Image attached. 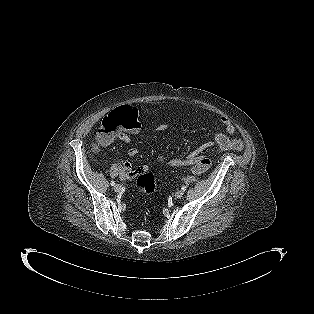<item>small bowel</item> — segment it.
Instances as JSON below:
<instances>
[{
    "label": "small bowel",
    "instance_id": "obj_1",
    "mask_svg": "<svg viewBox=\"0 0 314 314\" xmlns=\"http://www.w3.org/2000/svg\"><path fill=\"white\" fill-rule=\"evenodd\" d=\"M221 124L224 127L223 132H217L214 136V141L213 142H207L201 146H199L197 149H195L192 153H190L187 157L185 158H172L169 160V165L172 167H182V166H192L194 165L200 158L202 152L215 145L216 146V151L217 152H225L229 150H236L240 151L243 149V143L241 140L233 138L232 134L234 132V126L232 122L228 118H222L221 119ZM168 128V124L166 123H160L156 126V131L162 132L165 131ZM140 131V127L131 130L130 132H122L119 133L115 136H113L111 139H109L106 142L98 144L101 147H107L110 144H112L116 139L123 141V142H130L131 141V135L132 134H137ZM139 152V149L137 147H131L127 155L128 157L132 158L136 156ZM158 160L160 163L165 162V157L163 155L158 156ZM121 165V176L124 179H131L135 177L138 174V168L133 169L131 163L128 160H121L120 161ZM146 169L147 166L142 165Z\"/></svg>",
    "mask_w": 314,
    "mask_h": 314
}]
</instances>
